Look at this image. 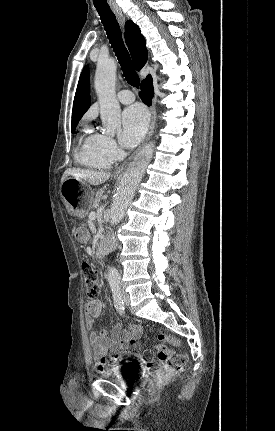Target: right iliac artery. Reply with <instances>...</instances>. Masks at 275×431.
Here are the masks:
<instances>
[{
	"label": "right iliac artery",
	"mask_w": 275,
	"mask_h": 431,
	"mask_svg": "<svg viewBox=\"0 0 275 431\" xmlns=\"http://www.w3.org/2000/svg\"><path fill=\"white\" fill-rule=\"evenodd\" d=\"M112 293H113V300H114V306L117 309V311L122 314L124 313V302L121 297V288L118 283H113L111 285Z\"/></svg>",
	"instance_id": "82829eb1"
}]
</instances>
